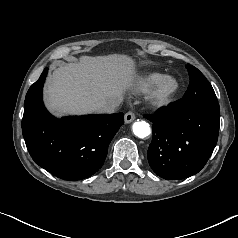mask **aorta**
I'll return each instance as SVG.
<instances>
[{"instance_id":"1","label":"aorta","mask_w":238,"mask_h":238,"mask_svg":"<svg viewBox=\"0 0 238 238\" xmlns=\"http://www.w3.org/2000/svg\"><path fill=\"white\" fill-rule=\"evenodd\" d=\"M133 133L143 139L151 134L150 125L145 121H136L132 125Z\"/></svg>"}]
</instances>
